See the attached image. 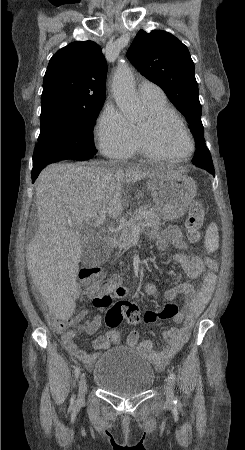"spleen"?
Wrapping results in <instances>:
<instances>
[{
    "instance_id": "obj_1",
    "label": "spleen",
    "mask_w": 245,
    "mask_h": 450,
    "mask_svg": "<svg viewBox=\"0 0 245 450\" xmlns=\"http://www.w3.org/2000/svg\"><path fill=\"white\" fill-rule=\"evenodd\" d=\"M205 248L208 252H214L219 246L218 227L215 223H211L206 231Z\"/></svg>"
}]
</instances>
